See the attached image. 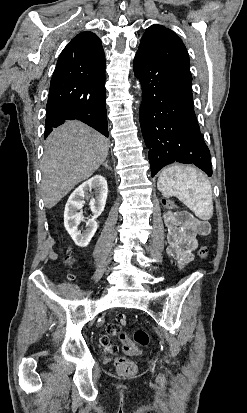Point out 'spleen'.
Masks as SVG:
<instances>
[{"mask_svg":"<svg viewBox=\"0 0 247 413\" xmlns=\"http://www.w3.org/2000/svg\"><path fill=\"white\" fill-rule=\"evenodd\" d=\"M157 186L164 194L177 196L199 219H209L212 211L211 184L198 168L186 166L182 170L177 166H167L161 170Z\"/></svg>","mask_w":247,"mask_h":413,"instance_id":"1","label":"spleen"}]
</instances>
